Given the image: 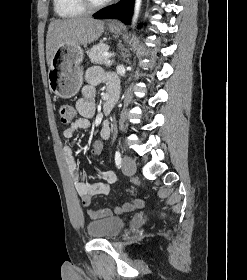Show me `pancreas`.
I'll return each mask as SVG.
<instances>
[{
  "instance_id": "obj_1",
  "label": "pancreas",
  "mask_w": 247,
  "mask_h": 280,
  "mask_svg": "<svg viewBox=\"0 0 247 280\" xmlns=\"http://www.w3.org/2000/svg\"><path fill=\"white\" fill-rule=\"evenodd\" d=\"M108 48L109 47L103 43L95 45L89 52V57L91 59V62L94 64H104L105 60L110 58V56L103 55L104 52L108 50Z\"/></svg>"
}]
</instances>
